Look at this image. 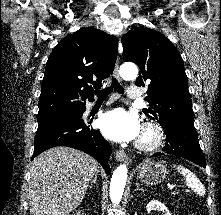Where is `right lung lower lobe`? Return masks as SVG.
<instances>
[{"instance_id": "98d812e1", "label": "right lung lower lobe", "mask_w": 221, "mask_h": 215, "mask_svg": "<svg viewBox=\"0 0 221 215\" xmlns=\"http://www.w3.org/2000/svg\"><path fill=\"white\" fill-rule=\"evenodd\" d=\"M85 110L83 107L76 115L38 123L32 159L49 148L68 146L93 156L110 174L111 147L99 131L90 128L82 119Z\"/></svg>"}]
</instances>
